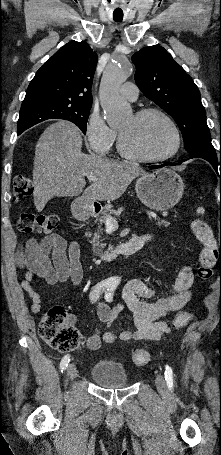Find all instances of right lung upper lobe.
I'll return each mask as SVG.
<instances>
[{"mask_svg":"<svg viewBox=\"0 0 221 455\" xmlns=\"http://www.w3.org/2000/svg\"><path fill=\"white\" fill-rule=\"evenodd\" d=\"M97 54L82 42L60 48L36 73L22 105L40 102L91 103Z\"/></svg>","mask_w":221,"mask_h":455,"instance_id":"1","label":"right lung upper lobe"}]
</instances>
